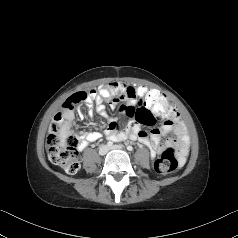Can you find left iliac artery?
Here are the masks:
<instances>
[{"instance_id": "44dca946", "label": "left iliac artery", "mask_w": 238, "mask_h": 238, "mask_svg": "<svg viewBox=\"0 0 238 238\" xmlns=\"http://www.w3.org/2000/svg\"><path fill=\"white\" fill-rule=\"evenodd\" d=\"M127 150L133 151V147L129 145V146H127Z\"/></svg>"}]
</instances>
